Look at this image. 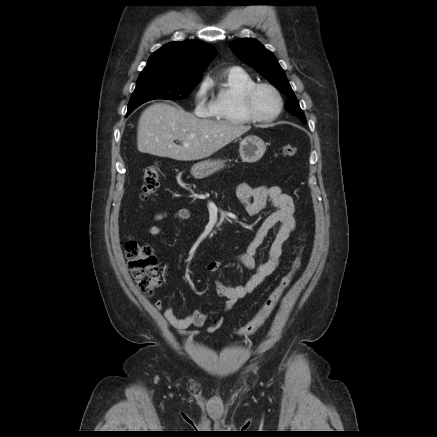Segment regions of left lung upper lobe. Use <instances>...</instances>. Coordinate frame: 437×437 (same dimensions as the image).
<instances>
[{"label": "left lung upper lobe", "instance_id": "left-lung-upper-lobe-1", "mask_svg": "<svg viewBox=\"0 0 437 437\" xmlns=\"http://www.w3.org/2000/svg\"><path fill=\"white\" fill-rule=\"evenodd\" d=\"M231 50L245 63L253 67L272 85L287 96L285 109L306 122L305 115L286 78L284 70L279 65L272 52L253 38H242L231 42Z\"/></svg>", "mask_w": 437, "mask_h": 437}]
</instances>
